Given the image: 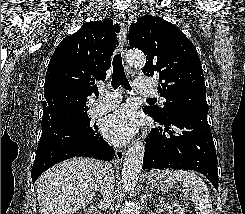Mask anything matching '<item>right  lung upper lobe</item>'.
<instances>
[{
    "mask_svg": "<svg viewBox=\"0 0 245 214\" xmlns=\"http://www.w3.org/2000/svg\"><path fill=\"white\" fill-rule=\"evenodd\" d=\"M119 30L112 19L86 22L60 42L46 72L42 129L59 127L87 111L86 102L98 96L95 81L106 79Z\"/></svg>",
    "mask_w": 245,
    "mask_h": 214,
    "instance_id": "cb5924a9",
    "label": "right lung upper lobe"
}]
</instances>
